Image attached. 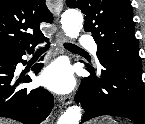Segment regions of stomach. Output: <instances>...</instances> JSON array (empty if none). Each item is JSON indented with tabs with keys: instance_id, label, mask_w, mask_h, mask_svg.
<instances>
[{
	"instance_id": "obj_1",
	"label": "stomach",
	"mask_w": 145,
	"mask_h": 124,
	"mask_svg": "<svg viewBox=\"0 0 145 124\" xmlns=\"http://www.w3.org/2000/svg\"><path fill=\"white\" fill-rule=\"evenodd\" d=\"M90 124H117L116 121H114L111 118L108 117H104L98 121H95L94 123H90Z\"/></svg>"
}]
</instances>
